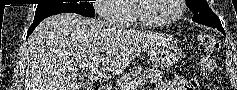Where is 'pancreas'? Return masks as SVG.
I'll use <instances>...</instances> for the list:
<instances>
[{"label": "pancreas", "mask_w": 237, "mask_h": 90, "mask_svg": "<svg viewBox=\"0 0 237 90\" xmlns=\"http://www.w3.org/2000/svg\"><path fill=\"white\" fill-rule=\"evenodd\" d=\"M163 72L160 70H150V68H143V66H137V68H132L128 74H125L123 78L125 80H140V82H159L162 78Z\"/></svg>", "instance_id": "1"}]
</instances>
